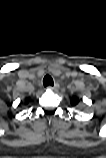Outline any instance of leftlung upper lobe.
I'll use <instances>...</instances> for the list:
<instances>
[{"label":"left lung upper lobe","instance_id":"obj_1","mask_svg":"<svg viewBox=\"0 0 106 158\" xmlns=\"http://www.w3.org/2000/svg\"><path fill=\"white\" fill-rule=\"evenodd\" d=\"M79 103V99L77 97H73L71 99L72 106H76Z\"/></svg>","mask_w":106,"mask_h":158}]
</instances>
